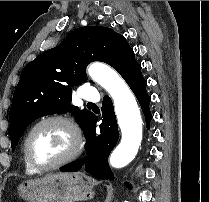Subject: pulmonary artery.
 <instances>
[{
	"mask_svg": "<svg viewBox=\"0 0 209 202\" xmlns=\"http://www.w3.org/2000/svg\"><path fill=\"white\" fill-rule=\"evenodd\" d=\"M83 100L91 103H97L100 101V94L94 88L85 87L82 92Z\"/></svg>",
	"mask_w": 209,
	"mask_h": 202,
	"instance_id": "pulmonary-artery-1",
	"label": "pulmonary artery"
}]
</instances>
